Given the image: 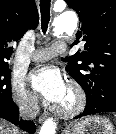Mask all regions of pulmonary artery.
<instances>
[{"instance_id":"1","label":"pulmonary artery","mask_w":116,"mask_h":134,"mask_svg":"<svg viewBox=\"0 0 116 134\" xmlns=\"http://www.w3.org/2000/svg\"><path fill=\"white\" fill-rule=\"evenodd\" d=\"M66 51V44L64 42H56L50 48H43L34 51L30 55V59L35 62H44L50 60L52 57L62 54Z\"/></svg>"}]
</instances>
